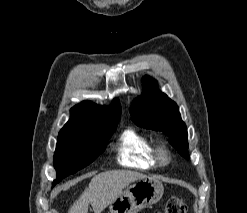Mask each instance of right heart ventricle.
Returning <instances> with one entry per match:
<instances>
[{"mask_svg": "<svg viewBox=\"0 0 247 213\" xmlns=\"http://www.w3.org/2000/svg\"><path fill=\"white\" fill-rule=\"evenodd\" d=\"M117 160L122 166L138 170H151L159 165L151 140L134 128H127L120 134Z\"/></svg>", "mask_w": 247, "mask_h": 213, "instance_id": "1", "label": "right heart ventricle"}]
</instances>
